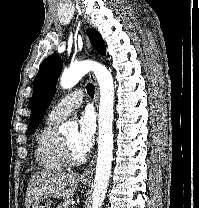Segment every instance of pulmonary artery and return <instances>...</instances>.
Returning a JSON list of instances; mask_svg holds the SVG:
<instances>
[{
  "instance_id": "1",
  "label": "pulmonary artery",
  "mask_w": 199,
  "mask_h": 208,
  "mask_svg": "<svg viewBox=\"0 0 199 208\" xmlns=\"http://www.w3.org/2000/svg\"><path fill=\"white\" fill-rule=\"evenodd\" d=\"M83 98L84 93L82 90H73L53 106L49 116L61 120L65 119L71 114V112L82 105Z\"/></svg>"
}]
</instances>
